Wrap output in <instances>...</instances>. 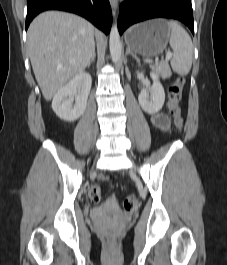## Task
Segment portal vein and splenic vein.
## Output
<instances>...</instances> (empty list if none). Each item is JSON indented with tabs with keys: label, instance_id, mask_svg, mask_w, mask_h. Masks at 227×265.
I'll return each mask as SVG.
<instances>
[{
	"label": "portal vein and splenic vein",
	"instance_id": "portal-vein-and-splenic-vein-1",
	"mask_svg": "<svg viewBox=\"0 0 227 265\" xmlns=\"http://www.w3.org/2000/svg\"><path fill=\"white\" fill-rule=\"evenodd\" d=\"M172 55H173V54H172L170 51H168V52L166 53L165 60H166V61L170 60L171 57H172Z\"/></svg>",
	"mask_w": 227,
	"mask_h": 265
}]
</instances>
